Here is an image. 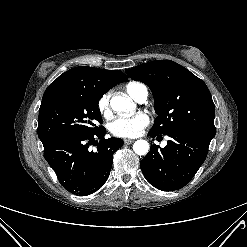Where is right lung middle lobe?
<instances>
[{"mask_svg":"<svg viewBox=\"0 0 247 247\" xmlns=\"http://www.w3.org/2000/svg\"><path fill=\"white\" fill-rule=\"evenodd\" d=\"M104 92L80 89L62 93L41 102L38 117V137L42 143L71 134L93 133L102 123L98 101Z\"/></svg>","mask_w":247,"mask_h":247,"instance_id":"1","label":"right lung middle lobe"}]
</instances>
